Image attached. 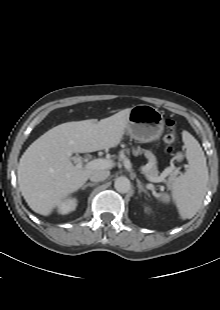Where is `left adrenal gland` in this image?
<instances>
[{
	"label": "left adrenal gland",
	"mask_w": 220,
	"mask_h": 310,
	"mask_svg": "<svg viewBox=\"0 0 220 310\" xmlns=\"http://www.w3.org/2000/svg\"><path fill=\"white\" fill-rule=\"evenodd\" d=\"M137 187L139 188V191H138L139 193L141 192L147 193V190L143 187L139 179H137Z\"/></svg>",
	"instance_id": "obj_1"
}]
</instances>
